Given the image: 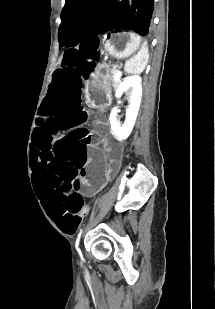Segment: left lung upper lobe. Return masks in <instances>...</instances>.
I'll use <instances>...</instances> for the list:
<instances>
[{"instance_id": "1", "label": "left lung upper lobe", "mask_w": 215, "mask_h": 309, "mask_svg": "<svg viewBox=\"0 0 215 309\" xmlns=\"http://www.w3.org/2000/svg\"><path fill=\"white\" fill-rule=\"evenodd\" d=\"M154 0H65L59 47L75 46L113 29L148 35Z\"/></svg>"}]
</instances>
